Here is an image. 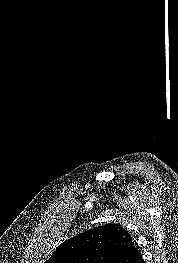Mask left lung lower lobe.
Masks as SVG:
<instances>
[{
	"label": "left lung lower lobe",
	"instance_id": "0a47b994",
	"mask_svg": "<svg viewBox=\"0 0 178 263\" xmlns=\"http://www.w3.org/2000/svg\"><path fill=\"white\" fill-rule=\"evenodd\" d=\"M109 263H144V260L129 236L118 254Z\"/></svg>",
	"mask_w": 178,
	"mask_h": 263
}]
</instances>
